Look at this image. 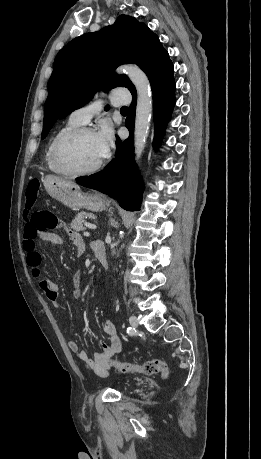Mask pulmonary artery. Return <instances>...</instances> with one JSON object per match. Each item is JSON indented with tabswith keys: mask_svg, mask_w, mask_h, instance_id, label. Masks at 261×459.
Here are the masks:
<instances>
[{
	"mask_svg": "<svg viewBox=\"0 0 261 459\" xmlns=\"http://www.w3.org/2000/svg\"><path fill=\"white\" fill-rule=\"evenodd\" d=\"M109 100L113 105H124L129 102V96L126 91L115 89L109 94ZM104 103L105 100L103 98H96L85 106L74 110L70 118L78 124H86L94 115L102 110Z\"/></svg>",
	"mask_w": 261,
	"mask_h": 459,
	"instance_id": "1",
	"label": "pulmonary artery"
}]
</instances>
